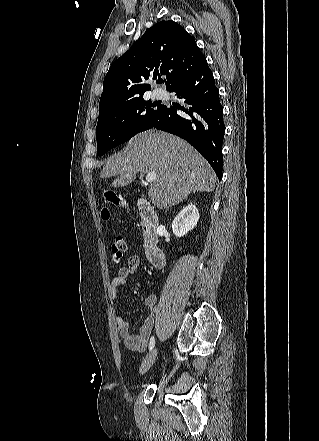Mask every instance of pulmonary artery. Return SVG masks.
<instances>
[{
    "instance_id": "pulmonary-artery-1",
    "label": "pulmonary artery",
    "mask_w": 319,
    "mask_h": 441,
    "mask_svg": "<svg viewBox=\"0 0 319 441\" xmlns=\"http://www.w3.org/2000/svg\"><path fill=\"white\" fill-rule=\"evenodd\" d=\"M154 97L155 98H161L162 97V93L160 91H155L154 92Z\"/></svg>"
}]
</instances>
